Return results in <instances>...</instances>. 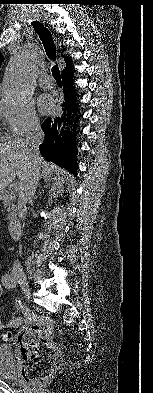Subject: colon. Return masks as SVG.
Returning a JSON list of instances; mask_svg holds the SVG:
<instances>
[{
	"instance_id": "1",
	"label": "colon",
	"mask_w": 153,
	"mask_h": 393,
	"mask_svg": "<svg viewBox=\"0 0 153 393\" xmlns=\"http://www.w3.org/2000/svg\"><path fill=\"white\" fill-rule=\"evenodd\" d=\"M24 323L20 317L12 318L7 327H17ZM52 320L44 317L19 333V346L22 355L21 377L27 383L39 384L47 380L62 364L61 353L51 343Z\"/></svg>"
}]
</instances>
